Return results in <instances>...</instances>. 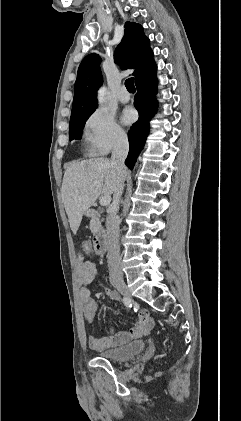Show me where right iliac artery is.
I'll use <instances>...</instances> for the list:
<instances>
[{"mask_svg":"<svg viewBox=\"0 0 241 421\" xmlns=\"http://www.w3.org/2000/svg\"><path fill=\"white\" fill-rule=\"evenodd\" d=\"M123 303L128 309L132 307L131 300L128 298H123Z\"/></svg>","mask_w":241,"mask_h":421,"instance_id":"1","label":"right iliac artery"}]
</instances>
